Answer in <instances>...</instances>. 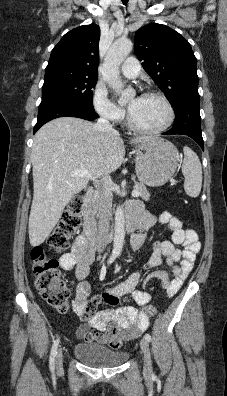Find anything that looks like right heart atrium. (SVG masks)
<instances>
[{
  "label": "right heart atrium",
  "mask_w": 227,
  "mask_h": 396,
  "mask_svg": "<svg viewBox=\"0 0 227 396\" xmlns=\"http://www.w3.org/2000/svg\"><path fill=\"white\" fill-rule=\"evenodd\" d=\"M93 106L98 115L112 123L122 121L125 116V111L108 97L101 85H96L93 90Z\"/></svg>",
  "instance_id": "obj_1"
}]
</instances>
